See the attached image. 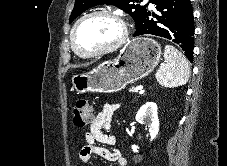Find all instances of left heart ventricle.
Wrapping results in <instances>:
<instances>
[{"label": "left heart ventricle", "mask_w": 227, "mask_h": 166, "mask_svg": "<svg viewBox=\"0 0 227 166\" xmlns=\"http://www.w3.org/2000/svg\"><path fill=\"white\" fill-rule=\"evenodd\" d=\"M121 36L120 25L110 17L94 16L77 28L75 42L83 52L96 51L114 44Z\"/></svg>", "instance_id": "b2bd125f"}]
</instances>
